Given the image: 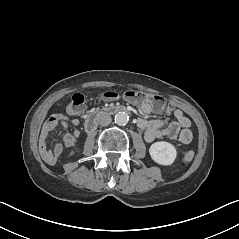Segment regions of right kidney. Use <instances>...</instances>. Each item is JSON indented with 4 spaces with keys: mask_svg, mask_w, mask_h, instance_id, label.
<instances>
[{
    "mask_svg": "<svg viewBox=\"0 0 239 239\" xmlns=\"http://www.w3.org/2000/svg\"><path fill=\"white\" fill-rule=\"evenodd\" d=\"M74 154V152L72 151V155ZM66 158H69V155H66Z\"/></svg>",
    "mask_w": 239,
    "mask_h": 239,
    "instance_id": "1",
    "label": "right kidney"
}]
</instances>
